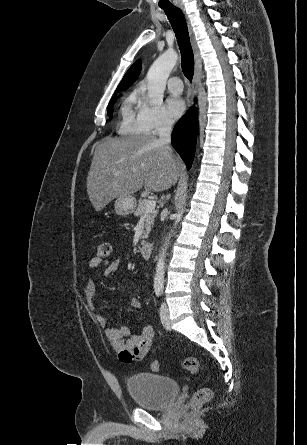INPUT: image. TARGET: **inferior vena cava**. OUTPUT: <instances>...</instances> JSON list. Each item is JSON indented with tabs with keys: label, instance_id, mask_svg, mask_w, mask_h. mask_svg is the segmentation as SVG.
Masks as SVG:
<instances>
[{
	"label": "inferior vena cava",
	"instance_id": "602c4592",
	"mask_svg": "<svg viewBox=\"0 0 307 445\" xmlns=\"http://www.w3.org/2000/svg\"><path fill=\"white\" fill-rule=\"evenodd\" d=\"M173 120L164 116L162 124H159L157 130L159 132L158 142L161 144H170L171 142V130Z\"/></svg>",
	"mask_w": 307,
	"mask_h": 445
}]
</instances>
